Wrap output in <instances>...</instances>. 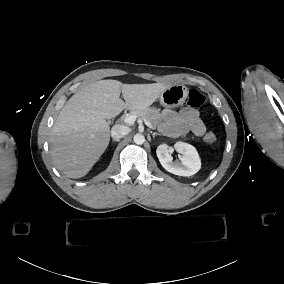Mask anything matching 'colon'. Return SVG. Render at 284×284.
<instances>
[{"instance_id":"colon-1","label":"colon","mask_w":284,"mask_h":284,"mask_svg":"<svg viewBox=\"0 0 284 284\" xmlns=\"http://www.w3.org/2000/svg\"><path fill=\"white\" fill-rule=\"evenodd\" d=\"M188 106L191 108H200L205 104V97L197 89H190L188 91ZM206 143H213L215 141V135L213 133H207L204 137Z\"/></svg>"}]
</instances>
